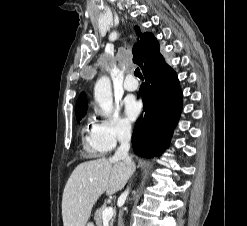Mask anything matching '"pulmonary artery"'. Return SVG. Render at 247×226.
<instances>
[{
    "label": "pulmonary artery",
    "instance_id": "obj_1",
    "mask_svg": "<svg viewBox=\"0 0 247 226\" xmlns=\"http://www.w3.org/2000/svg\"><path fill=\"white\" fill-rule=\"evenodd\" d=\"M123 87L127 92H132L138 88V82L132 76H127Z\"/></svg>",
    "mask_w": 247,
    "mask_h": 226
}]
</instances>
